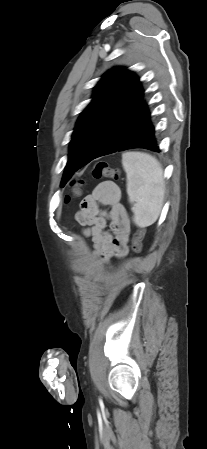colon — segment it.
<instances>
[{"label": "colon", "instance_id": "5ec220e1", "mask_svg": "<svg viewBox=\"0 0 207 449\" xmlns=\"http://www.w3.org/2000/svg\"><path fill=\"white\" fill-rule=\"evenodd\" d=\"M92 176L96 179L100 178H110L113 180H119L121 178V173L119 169L111 168L107 162L98 161L95 163L92 169ZM82 180H75L72 184L73 191L72 196H67L66 201L70 202L72 197L80 195ZM145 235L144 229H139L135 232L132 239V249L135 253H139L142 249V242Z\"/></svg>", "mask_w": 207, "mask_h": 449}]
</instances>
